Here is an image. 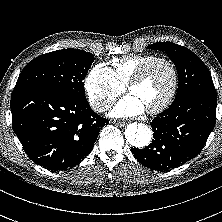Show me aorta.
<instances>
[{
    "label": "aorta",
    "mask_w": 222,
    "mask_h": 222,
    "mask_svg": "<svg viewBox=\"0 0 222 222\" xmlns=\"http://www.w3.org/2000/svg\"><path fill=\"white\" fill-rule=\"evenodd\" d=\"M126 142L135 148L146 147L152 139L150 127L144 123H131L124 132Z\"/></svg>",
    "instance_id": "762f6f07"
}]
</instances>
